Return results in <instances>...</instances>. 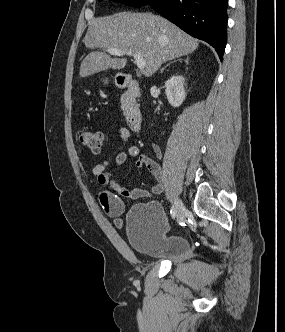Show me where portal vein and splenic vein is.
Returning a JSON list of instances; mask_svg holds the SVG:
<instances>
[{"label": "portal vein and splenic vein", "instance_id": "portal-vein-and-splenic-vein-1", "mask_svg": "<svg viewBox=\"0 0 285 332\" xmlns=\"http://www.w3.org/2000/svg\"><path fill=\"white\" fill-rule=\"evenodd\" d=\"M108 52L112 55H115V56H123L125 53L119 49H116V48H109L108 49ZM133 58L135 60V63L137 65V67L140 69V70H143L145 67H146V61L143 57H141L140 55L138 54H134L133 55Z\"/></svg>", "mask_w": 285, "mask_h": 332}]
</instances>
